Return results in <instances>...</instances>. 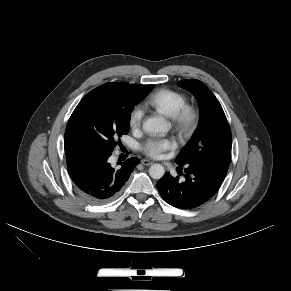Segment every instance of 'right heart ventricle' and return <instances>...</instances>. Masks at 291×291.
Wrapping results in <instances>:
<instances>
[{
    "label": "right heart ventricle",
    "instance_id": "right-heart-ventricle-1",
    "mask_svg": "<svg viewBox=\"0 0 291 291\" xmlns=\"http://www.w3.org/2000/svg\"><path fill=\"white\" fill-rule=\"evenodd\" d=\"M145 103L157 112L171 118L186 104V96L179 91L163 88L152 93Z\"/></svg>",
    "mask_w": 291,
    "mask_h": 291
}]
</instances>
